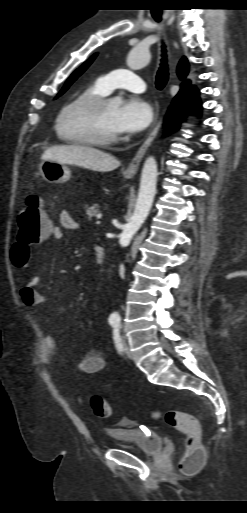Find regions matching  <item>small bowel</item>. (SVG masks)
I'll list each match as a JSON object with an SVG mask.
<instances>
[{
    "label": "small bowel",
    "mask_w": 247,
    "mask_h": 513,
    "mask_svg": "<svg viewBox=\"0 0 247 513\" xmlns=\"http://www.w3.org/2000/svg\"><path fill=\"white\" fill-rule=\"evenodd\" d=\"M79 223L72 217L68 211H63L59 216V225H52L50 233L45 239L52 238L60 241L64 237V230L79 229ZM41 278L32 276L20 289L19 296L21 302L27 307H36L47 303L46 297L39 291ZM59 351L54 337L46 333L44 336V350L42 360L45 364H51L58 357ZM106 367L105 357L98 351H88L82 355L78 362V368L81 372L94 374L102 371Z\"/></svg>",
    "instance_id": "1"
}]
</instances>
